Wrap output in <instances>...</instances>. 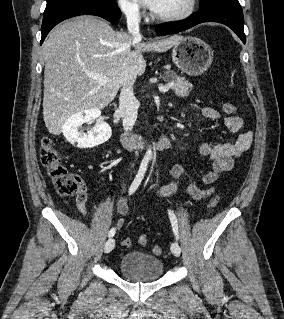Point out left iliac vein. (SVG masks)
<instances>
[{"mask_svg": "<svg viewBox=\"0 0 284 319\" xmlns=\"http://www.w3.org/2000/svg\"><path fill=\"white\" fill-rule=\"evenodd\" d=\"M171 252L174 254V256L178 257L180 256L181 253V248L177 242H172L171 243Z\"/></svg>", "mask_w": 284, "mask_h": 319, "instance_id": "left-iliac-vein-1", "label": "left iliac vein"}]
</instances>
